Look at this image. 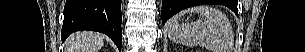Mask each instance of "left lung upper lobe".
Segmentation results:
<instances>
[{"instance_id":"5c2ea615","label":"left lung upper lobe","mask_w":305,"mask_h":52,"mask_svg":"<svg viewBox=\"0 0 305 52\" xmlns=\"http://www.w3.org/2000/svg\"><path fill=\"white\" fill-rule=\"evenodd\" d=\"M212 1H213V4H222L229 8H232L233 1H235V0H212Z\"/></svg>"}]
</instances>
